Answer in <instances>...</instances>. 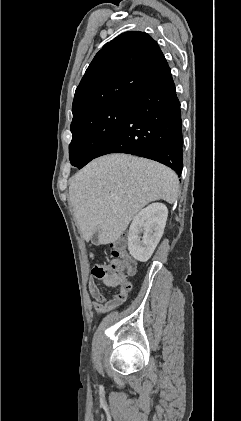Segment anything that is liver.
<instances>
[{"label":"liver","mask_w":241,"mask_h":421,"mask_svg":"<svg viewBox=\"0 0 241 421\" xmlns=\"http://www.w3.org/2000/svg\"><path fill=\"white\" fill-rule=\"evenodd\" d=\"M178 187L176 173L158 162L111 154L91 161L72 177L69 200L81 236L89 241L97 230L99 243L105 245L117 241L148 203H174Z\"/></svg>","instance_id":"1"}]
</instances>
